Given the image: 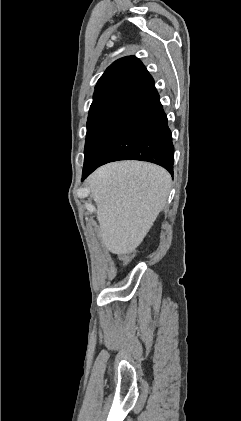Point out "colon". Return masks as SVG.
Wrapping results in <instances>:
<instances>
[{"instance_id":"obj_1","label":"colon","mask_w":241,"mask_h":421,"mask_svg":"<svg viewBox=\"0 0 241 421\" xmlns=\"http://www.w3.org/2000/svg\"><path fill=\"white\" fill-rule=\"evenodd\" d=\"M132 258V253L131 252H126L124 254L121 255V259L124 263H128L130 261V259Z\"/></svg>"}]
</instances>
